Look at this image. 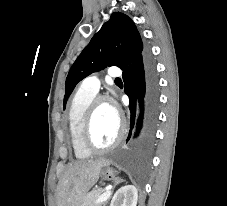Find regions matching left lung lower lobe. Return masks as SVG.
<instances>
[{"label":"left lung lower lobe","mask_w":227,"mask_h":206,"mask_svg":"<svg viewBox=\"0 0 227 206\" xmlns=\"http://www.w3.org/2000/svg\"><path fill=\"white\" fill-rule=\"evenodd\" d=\"M123 80L131 112L127 140L131 139L135 154L142 156L154 142L158 118V80L149 51L123 71Z\"/></svg>","instance_id":"0a47b994"}]
</instances>
